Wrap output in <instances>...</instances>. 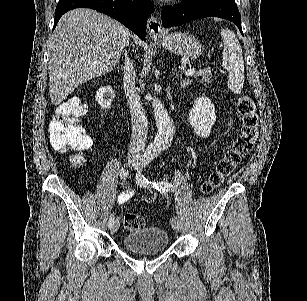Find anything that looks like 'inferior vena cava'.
Instances as JSON below:
<instances>
[{
  "label": "inferior vena cava",
  "instance_id": "obj_1",
  "mask_svg": "<svg viewBox=\"0 0 307 301\" xmlns=\"http://www.w3.org/2000/svg\"><path fill=\"white\" fill-rule=\"evenodd\" d=\"M136 72L134 64L125 50V66H124V88L126 98L131 114V140L129 144V157L142 155L148 134V118L143 108V102L138 94L137 86H135Z\"/></svg>",
  "mask_w": 307,
  "mask_h": 301
}]
</instances>
